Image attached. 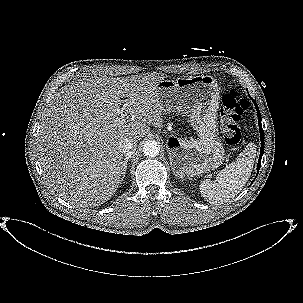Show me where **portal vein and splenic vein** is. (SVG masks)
<instances>
[{"label": "portal vein and splenic vein", "mask_w": 303, "mask_h": 303, "mask_svg": "<svg viewBox=\"0 0 303 303\" xmlns=\"http://www.w3.org/2000/svg\"><path fill=\"white\" fill-rule=\"evenodd\" d=\"M126 116V114H123V112H121V118L124 119ZM125 120V119H124Z\"/></svg>", "instance_id": "portal-vein-and-splenic-vein-1"}]
</instances>
